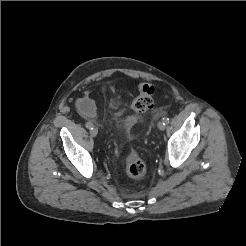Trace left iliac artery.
Returning a JSON list of instances; mask_svg holds the SVG:
<instances>
[{
    "instance_id": "1",
    "label": "left iliac artery",
    "mask_w": 246,
    "mask_h": 246,
    "mask_svg": "<svg viewBox=\"0 0 246 246\" xmlns=\"http://www.w3.org/2000/svg\"><path fill=\"white\" fill-rule=\"evenodd\" d=\"M163 122H164V125H167L169 123V118L168 117H164L163 118Z\"/></svg>"
}]
</instances>
